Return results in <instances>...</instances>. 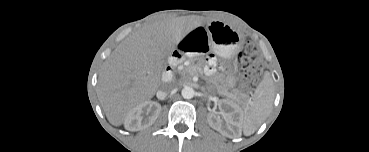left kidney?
<instances>
[{
    "label": "left kidney",
    "instance_id": "1",
    "mask_svg": "<svg viewBox=\"0 0 369 152\" xmlns=\"http://www.w3.org/2000/svg\"><path fill=\"white\" fill-rule=\"evenodd\" d=\"M218 106L222 109L223 117L228 124L234 128H238L241 125L243 112L237 104L223 99L219 101ZM207 121L210 127L215 130L222 131L221 121H219L214 114L209 113Z\"/></svg>",
    "mask_w": 369,
    "mask_h": 152
}]
</instances>
